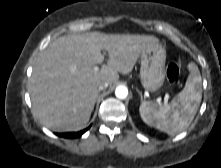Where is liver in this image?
I'll return each instance as SVG.
<instances>
[{"label":"liver","mask_w":221,"mask_h":168,"mask_svg":"<svg viewBox=\"0 0 221 168\" xmlns=\"http://www.w3.org/2000/svg\"><path fill=\"white\" fill-rule=\"evenodd\" d=\"M159 46L148 35L88 32L51 42L34 65L29 93L34 115L56 132L79 131L88 123L99 85L129 74L141 53ZM108 52L107 65L94 70Z\"/></svg>","instance_id":"obj_1"}]
</instances>
